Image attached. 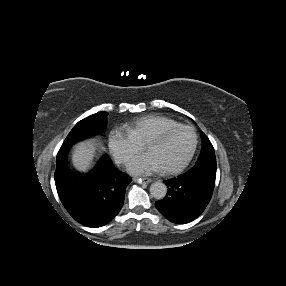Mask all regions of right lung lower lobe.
I'll return each instance as SVG.
<instances>
[{
	"instance_id": "right-lung-lower-lobe-1",
	"label": "right lung lower lobe",
	"mask_w": 286,
	"mask_h": 286,
	"mask_svg": "<svg viewBox=\"0 0 286 286\" xmlns=\"http://www.w3.org/2000/svg\"><path fill=\"white\" fill-rule=\"evenodd\" d=\"M66 154L67 150H59L55 171L62 204L76 221L87 227L107 224L122 208L131 177L117 170L106 156L90 173L76 174L68 168Z\"/></svg>"
}]
</instances>
